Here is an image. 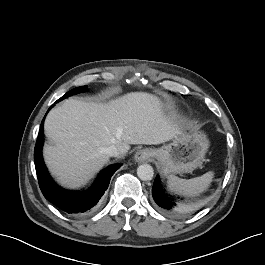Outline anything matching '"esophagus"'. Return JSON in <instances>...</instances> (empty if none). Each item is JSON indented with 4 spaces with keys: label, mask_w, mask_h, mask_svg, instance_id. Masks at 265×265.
<instances>
[{
    "label": "esophagus",
    "mask_w": 265,
    "mask_h": 265,
    "mask_svg": "<svg viewBox=\"0 0 265 265\" xmlns=\"http://www.w3.org/2000/svg\"><path fill=\"white\" fill-rule=\"evenodd\" d=\"M153 152L150 149H141L136 152L134 160L138 163L147 162L152 157Z\"/></svg>",
    "instance_id": "obj_1"
}]
</instances>
